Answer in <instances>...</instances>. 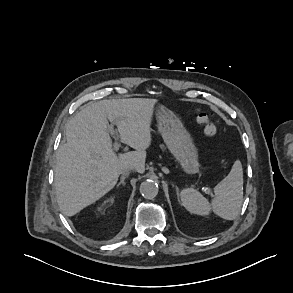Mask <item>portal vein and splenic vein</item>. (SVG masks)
Listing matches in <instances>:
<instances>
[{
  "label": "portal vein and splenic vein",
  "instance_id": "portal-vein-and-splenic-vein-1",
  "mask_svg": "<svg viewBox=\"0 0 293 293\" xmlns=\"http://www.w3.org/2000/svg\"><path fill=\"white\" fill-rule=\"evenodd\" d=\"M110 131L113 132L112 128L110 129ZM116 139H117V137H116ZM119 148H120V144L116 141L113 145V149H114V151H118Z\"/></svg>",
  "mask_w": 293,
  "mask_h": 293
}]
</instances>
